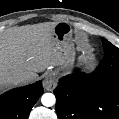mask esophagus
Instances as JSON below:
<instances>
[{
  "instance_id": "34e87169",
  "label": "esophagus",
  "mask_w": 119,
  "mask_h": 119,
  "mask_svg": "<svg viewBox=\"0 0 119 119\" xmlns=\"http://www.w3.org/2000/svg\"><path fill=\"white\" fill-rule=\"evenodd\" d=\"M56 86L57 82L55 76L53 74L47 75L43 82V87L48 91H52L56 88Z\"/></svg>"
}]
</instances>
